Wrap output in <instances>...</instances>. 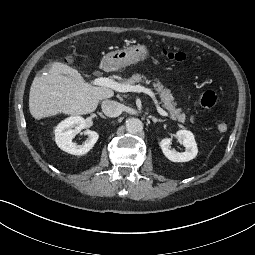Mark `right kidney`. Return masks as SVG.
<instances>
[{
	"label": "right kidney",
	"instance_id": "right-kidney-1",
	"mask_svg": "<svg viewBox=\"0 0 255 255\" xmlns=\"http://www.w3.org/2000/svg\"><path fill=\"white\" fill-rule=\"evenodd\" d=\"M86 121L80 116L69 117L60 122L55 128V141L57 146L72 155H84L89 152L94 144L97 142L99 135L95 131L86 129ZM85 130V134L88 135L83 145H76L72 142V139L81 130Z\"/></svg>",
	"mask_w": 255,
	"mask_h": 255
}]
</instances>
